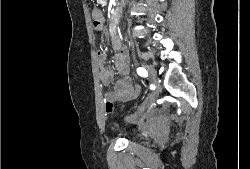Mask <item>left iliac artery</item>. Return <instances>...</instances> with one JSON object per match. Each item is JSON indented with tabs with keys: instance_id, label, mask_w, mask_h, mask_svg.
<instances>
[{
	"instance_id": "44dca946",
	"label": "left iliac artery",
	"mask_w": 250,
	"mask_h": 169,
	"mask_svg": "<svg viewBox=\"0 0 250 169\" xmlns=\"http://www.w3.org/2000/svg\"><path fill=\"white\" fill-rule=\"evenodd\" d=\"M137 73L141 77H147L148 76V72L146 71V69H144L142 67L137 68Z\"/></svg>"
}]
</instances>
